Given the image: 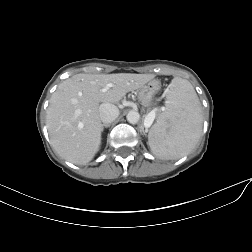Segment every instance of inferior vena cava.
Instances as JSON below:
<instances>
[{
    "instance_id": "1",
    "label": "inferior vena cava",
    "mask_w": 252,
    "mask_h": 252,
    "mask_svg": "<svg viewBox=\"0 0 252 252\" xmlns=\"http://www.w3.org/2000/svg\"><path fill=\"white\" fill-rule=\"evenodd\" d=\"M100 120L104 124L113 122L119 116V109L110 103H102L99 106Z\"/></svg>"
}]
</instances>
